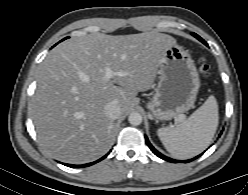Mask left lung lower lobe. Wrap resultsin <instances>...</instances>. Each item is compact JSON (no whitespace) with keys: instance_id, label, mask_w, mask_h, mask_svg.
<instances>
[{"instance_id":"obj_1","label":"left lung lower lobe","mask_w":248,"mask_h":195,"mask_svg":"<svg viewBox=\"0 0 248 195\" xmlns=\"http://www.w3.org/2000/svg\"><path fill=\"white\" fill-rule=\"evenodd\" d=\"M205 45H207V44H205ZM146 143H147V145L149 146V148L152 150V152H153L155 155H157L158 157H160L161 159L166 160V161H169V162H173V163L180 162V161H178V160H174V159H171V158H169V157H166V156H164L163 154H161L160 152H158V151L151 145V143L149 142V140H148L147 137H146ZM199 156H201V155H198V156H196V157L193 158V159L185 160V161H183V162H184V163L190 162V161H192V160L198 158Z\"/></svg>"}]
</instances>
